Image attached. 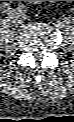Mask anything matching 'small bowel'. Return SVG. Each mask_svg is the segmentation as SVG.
<instances>
[{"label":"small bowel","mask_w":74,"mask_h":122,"mask_svg":"<svg viewBox=\"0 0 74 122\" xmlns=\"http://www.w3.org/2000/svg\"><path fill=\"white\" fill-rule=\"evenodd\" d=\"M29 2H31V3H41L43 1H29Z\"/></svg>","instance_id":"1"}]
</instances>
